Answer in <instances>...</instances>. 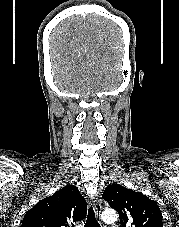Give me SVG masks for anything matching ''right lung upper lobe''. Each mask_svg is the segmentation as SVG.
I'll return each instance as SVG.
<instances>
[{
    "mask_svg": "<svg viewBox=\"0 0 179 227\" xmlns=\"http://www.w3.org/2000/svg\"><path fill=\"white\" fill-rule=\"evenodd\" d=\"M87 213L84 197L75 186H65L27 211L21 227H74Z\"/></svg>",
    "mask_w": 179,
    "mask_h": 227,
    "instance_id": "1",
    "label": "right lung upper lobe"
}]
</instances>
